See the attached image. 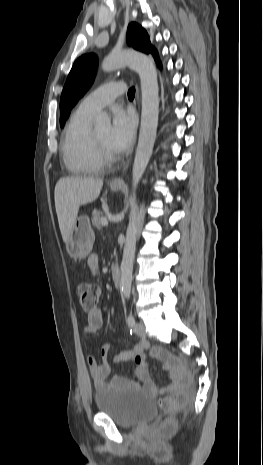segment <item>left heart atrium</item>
I'll list each match as a JSON object with an SVG mask.
<instances>
[{
  "label": "left heart atrium",
  "instance_id": "39dd6f15",
  "mask_svg": "<svg viewBox=\"0 0 263 465\" xmlns=\"http://www.w3.org/2000/svg\"><path fill=\"white\" fill-rule=\"evenodd\" d=\"M136 128L135 117L131 112L117 107L113 110L109 143L114 151L125 150L133 141Z\"/></svg>",
  "mask_w": 263,
  "mask_h": 465
}]
</instances>
